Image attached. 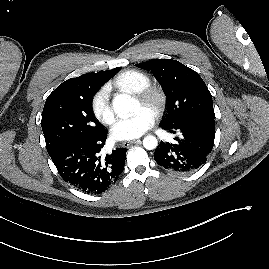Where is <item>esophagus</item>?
<instances>
[{"label": "esophagus", "instance_id": "1", "mask_svg": "<svg viewBox=\"0 0 269 269\" xmlns=\"http://www.w3.org/2000/svg\"><path fill=\"white\" fill-rule=\"evenodd\" d=\"M140 142H141L140 139L133 140V141H124V142H122V146L123 147H129L131 144H137V143H140Z\"/></svg>", "mask_w": 269, "mask_h": 269}]
</instances>
